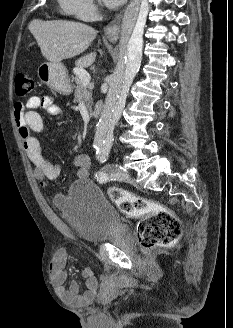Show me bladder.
Segmentation results:
<instances>
[{"instance_id":"31cf9c89","label":"bladder","mask_w":233,"mask_h":328,"mask_svg":"<svg viewBox=\"0 0 233 328\" xmlns=\"http://www.w3.org/2000/svg\"><path fill=\"white\" fill-rule=\"evenodd\" d=\"M53 202L63 219L85 241L99 243L117 234L129 236L117 209L90 180L73 182Z\"/></svg>"}]
</instances>
